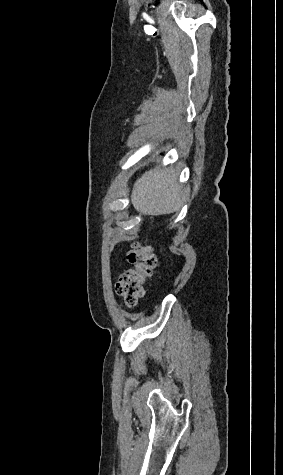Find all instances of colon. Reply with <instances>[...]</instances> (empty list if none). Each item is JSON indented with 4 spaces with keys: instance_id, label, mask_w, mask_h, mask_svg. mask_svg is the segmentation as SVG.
Segmentation results:
<instances>
[{
    "instance_id": "obj_1",
    "label": "colon",
    "mask_w": 283,
    "mask_h": 475,
    "mask_svg": "<svg viewBox=\"0 0 283 475\" xmlns=\"http://www.w3.org/2000/svg\"><path fill=\"white\" fill-rule=\"evenodd\" d=\"M133 266L120 275L116 283V292L120 294L128 307L138 305L144 295V286L157 268L158 260L154 248L149 244H136L127 256Z\"/></svg>"
}]
</instances>
